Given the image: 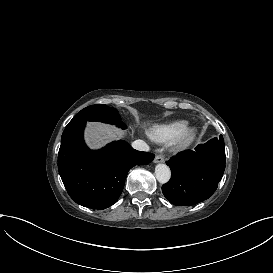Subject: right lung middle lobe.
I'll return each mask as SVG.
<instances>
[{"mask_svg":"<svg viewBox=\"0 0 273 273\" xmlns=\"http://www.w3.org/2000/svg\"><path fill=\"white\" fill-rule=\"evenodd\" d=\"M101 121L105 123L115 124L122 129L126 126L121 122L118 111L113 107L104 104H95L88 106L76 114L70 122L73 121Z\"/></svg>","mask_w":273,"mask_h":273,"instance_id":"1","label":"right lung middle lobe"}]
</instances>
